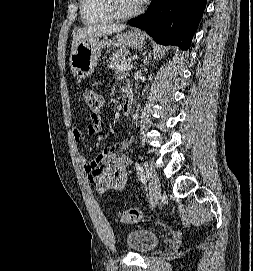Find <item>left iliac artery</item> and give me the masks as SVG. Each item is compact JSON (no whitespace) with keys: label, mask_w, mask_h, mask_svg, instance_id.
<instances>
[{"label":"left iliac artery","mask_w":253,"mask_h":271,"mask_svg":"<svg viewBox=\"0 0 253 271\" xmlns=\"http://www.w3.org/2000/svg\"><path fill=\"white\" fill-rule=\"evenodd\" d=\"M135 166H136L138 178L141 180L142 183H145V174H144L143 166L139 162H136Z\"/></svg>","instance_id":"44dca946"}]
</instances>
